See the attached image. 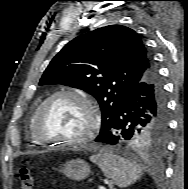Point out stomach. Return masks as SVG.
Segmentation results:
<instances>
[{
	"label": "stomach",
	"mask_w": 188,
	"mask_h": 189,
	"mask_svg": "<svg viewBox=\"0 0 188 189\" xmlns=\"http://www.w3.org/2000/svg\"><path fill=\"white\" fill-rule=\"evenodd\" d=\"M60 172L74 180L85 179L90 173V166L81 159L68 161Z\"/></svg>",
	"instance_id": "stomach-1"
}]
</instances>
